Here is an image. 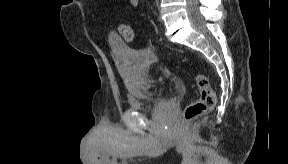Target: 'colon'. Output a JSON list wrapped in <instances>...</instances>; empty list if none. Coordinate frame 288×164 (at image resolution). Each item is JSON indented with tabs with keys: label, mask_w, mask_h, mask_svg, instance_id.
<instances>
[{
	"label": "colon",
	"mask_w": 288,
	"mask_h": 164,
	"mask_svg": "<svg viewBox=\"0 0 288 164\" xmlns=\"http://www.w3.org/2000/svg\"><path fill=\"white\" fill-rule=\"evenodd\" d=\"M118 30L126 41L133 40V33L129 24H119ZM194 81L198 91V98L190 101L185 107L183 120H194V118L211 112L215 107L216 97L210 80L204 75L196 74Z\"/></svg>",
	"instance_id": "1"
}]
</instances>
